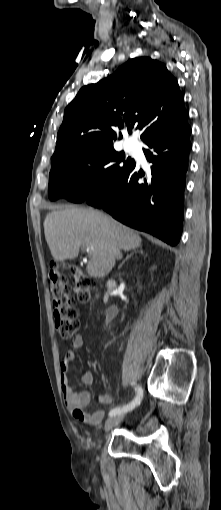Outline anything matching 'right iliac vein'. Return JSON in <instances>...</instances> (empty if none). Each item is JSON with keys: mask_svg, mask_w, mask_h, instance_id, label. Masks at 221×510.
<instances>
[{"mask_svg": "<svg viewBox=\"0 0 221 510\" xmlns=\"http://www.w3.org/2000/svg\"><path fill=\"white\" fill-rule=\"evenodd\" d=\"M124 418L123 414H118L116 416H112L109 419L106 420L104 430L105 432H108L111 430L114 426L118 425Z\"/></svg>", "mask_w": 221, "mask_h": 510, "instance_id": "obj_1", "label": "right iliac vein"}]
</instances>
